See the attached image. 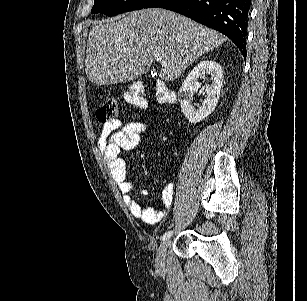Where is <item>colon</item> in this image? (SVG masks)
I'll list each match as a JSON object with an SVG mask.
<instances>
[{
  "label": "colon",
  "mask_w": 307,
  "mask_h": 301,
  "mask_svg": "<svg viewBox=\"0 0 307 301\" xmlns=\"http://www.w3.org/2000/svg\"><path fill=\"white\" fill-rule=\"evenodd\" d=\"M155 90V97L160 103H170L174 100V93L161 81H155L153 84ZM125 101L138 108L139 110H145L147 101L145 97V87L141 82H133L129 85L127 92L125 93ZM118 113L117 102L114 99L106 100L97 110L96 117L99 122L106 124L108 122L116 120Z\"/></svg>",
  "instance_id": "5ec220e1"
}]
</instances>
